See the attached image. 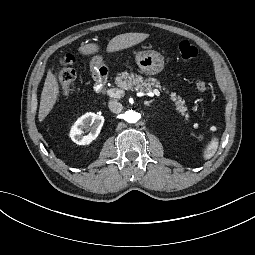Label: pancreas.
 I'll use <instances>...</instances> for the list:
<instances>
[{
	"label": "pancreas",
	"mask_w": 255,
	"mask_h": 255,
	"mask_svg": "<svg viewBox=\"0 0 255 255\" xmlns=\"http://www.w3.org/2000/svg\"><path fill=\"white\" fill-rule=\"evenodd\" d=\"M115 84L123 89V90H140L141 92H151L153 87H157L161 89L160 82L157 79L149 77L144 79L142 76L128 73V72H121L115 78ZM165 90V88H163ZM169 93V91H166ZM171 100L175 102L176 110H178L182 116H185V119L188 120L189 115L185 112L187 111V107L184 106L185 102L182 100L180 96H176V93L172 92L170 94Z\"/></svg>",
	"instance_id": "pancreas-1"
}]
</instances>
